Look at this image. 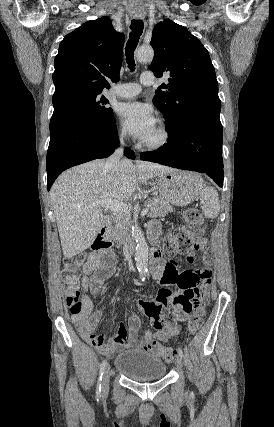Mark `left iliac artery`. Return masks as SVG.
<instances>
[{
	"label": "left iliac artery",
	"mask_w": 274,
	"mask_h": 427,
	"mask_svg": "<svg viewBox=\"0 0 274 427\" xmlns=\"http://www.w3.org/2000/svg\"><path fill=\"white\" fill-rule=\"evenodd\" d=\"M177 351H178L179 356H180L181 358H183V357H184V354H183L182 349H181L180 347H178Z\"/></svg>",
	"instance_id": "1"
}]
</instances>
